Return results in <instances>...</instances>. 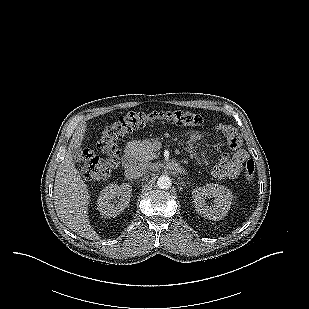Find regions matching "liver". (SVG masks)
Returning a JSON list of instances; mask_svg holds the SVG:
<instances>
[{"label": "liver", "mask_w": 309, "mask_h": 309, "mask_svg": "<svg viewBox=\"0 0 309 309\" xmlns=\"http://www.w3.org/2000/svg\"><path fill=\"white\" fill-rule=\"evenodd\" d=\"M86 124L78 126L72 136L65 158L59 164L54 182V207L60 221L81 237L98 240L88 219L89 194L85 181L76 169L71 151L81 146Z\"/></svg>", "instance_id": "6515ba94"}]
</instances>
